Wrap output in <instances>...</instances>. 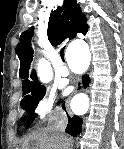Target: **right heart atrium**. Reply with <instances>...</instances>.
<instances>
[{
    "mask_svg": "<svg viewBox=\"0 0 124 149\" xmlns=\"http://www.w3.org/2000/svg\"><path fill=\"white\" fill-rule=\"evenodd\" d=\"M59 110L55 107L53 97L45 96L39 100L34 110L35 118L39 121L49 119L54 113Z\"/></svg>",
    "mask_w": 124,
    "mask_h": 149,
    "instance_id": "d8ad5b80",
    "label": "right heart atrium"
}]
</instances>
